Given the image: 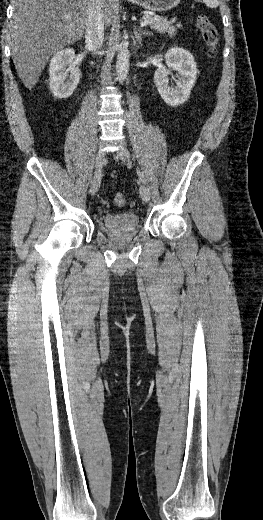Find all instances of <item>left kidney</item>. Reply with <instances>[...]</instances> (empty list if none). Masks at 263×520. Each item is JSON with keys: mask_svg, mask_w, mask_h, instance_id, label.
Instances as JSON below:
<instances>
[{"mask_svg": "<svg viewBox=\"0 0 263 520\" xmlns=\"http://www.w3.org/2000/svg\"><path fill=\"white\" fill-rule=\"evenodd\" d=\"M167 67H162L156 70L154 75V82L157 90L170 106H179L185 103L190 95L197 77V67L194 57L189 51L182 48H171L165 54ZM172 71L176 72V86L169 87V80L167 76Z\"/></svg>", "mask_w": 263, "mask_h": 520, "instance_id": "left-kidney-1", "label": "left kidney"}]
</instances>
